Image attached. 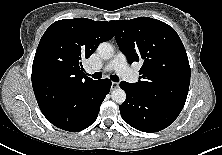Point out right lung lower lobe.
Segmentation results:
<instances>
[{
	"instance_id": "obj_1",
	"label": "right lung lower lobe",
	"mask_w": 222,
	"mask_h": 155,
	"mask_svg": "<svg viewBox=\"0 0 222 155\" xmlns=\"http://www.w3.org/2000/svg\"><path fill=\"white\" fill-rule=\"evenodd\" d=\"M110 87L109 79H100L65 92L44 86L34 90V93L48 121L60 129L78 132L96 120Z\"/></svg>"
}]
</instances>
